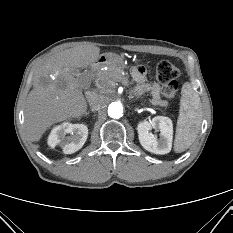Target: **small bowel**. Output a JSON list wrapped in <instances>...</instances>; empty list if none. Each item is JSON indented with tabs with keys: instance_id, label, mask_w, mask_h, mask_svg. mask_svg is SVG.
Listing matches in <instances>:
<instances>
[{
	"instance_id": "obj_1",
	"label": "small bowel",
	"mask_w": 233,
	"mask_h": 233,
	"mask_svg": "<svg viewBox=\"0 0 233 233\" xmlns=\"http://www.w3.org/2000/svg\"><path fill=\"white\" fill-rule=\"evenodd\" d=\"M131 75L137 82L136 93L143 94L150 92L152 94V102L155 105L163 106L166 102L161 97V86L158 83H148L146 81L147 71L142 65L134 66L131 69Z\"/></svg>"
}]
</instances>
